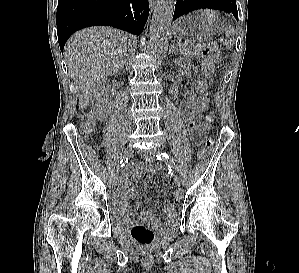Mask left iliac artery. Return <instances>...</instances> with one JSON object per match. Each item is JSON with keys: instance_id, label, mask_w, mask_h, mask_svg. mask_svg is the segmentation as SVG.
Here are the masks:
<instances>
[{"instance_id": "44dca946", "label": "left iliac artery", "mask_w": 299, "mask_h": 273, "mask_svg": "<svg viewBox=\"0 0 299 273\" xmlns=\"http://www.w3.org/2000/svg\"><path fill=\"white\" fill-rule=\"evenodd\" d=\"M156 157L159 160H164L167 163L170 170H177V166H176L174 160L168 154L159 153L158 155H156Z\"/></svg>"}]
</instances>
